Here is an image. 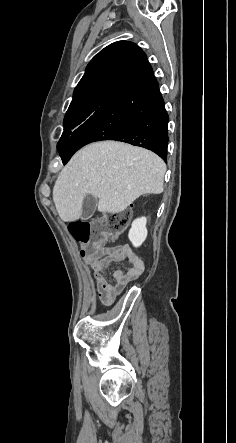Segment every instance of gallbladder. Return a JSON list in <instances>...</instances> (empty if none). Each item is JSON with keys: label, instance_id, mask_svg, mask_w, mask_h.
Listing matches in <instances>:
<instances>
[{"label": "gallbladder", "instance_id": "obj_1", "mask_svg": "<svg viewBox=\"0 0 236 443\" xmlns=\"http://www.w3.org/2000/svg\"><path fill=\"white\" fill-rule=\"evenodd\" d=\"M98 199L91 194H87L82 202L81 219H89L96 210Z\"/></svg>", "mask_w": 236, "mask_h": 443}]
</instances>
